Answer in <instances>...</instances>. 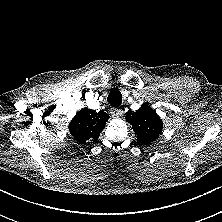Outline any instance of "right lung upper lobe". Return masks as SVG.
<instances>
[{"label":"right lung upper lobe","mask_w":222,"mask_h":222,"mask_svg":"<svg viewBox=\"0 0 222 222\" xmlns=\"http://www.w3.org/2000/svg\"><path fill=\"white\" fill-rule=\"evenodd\" d=\"M108 119L109 115L104 111L96 112L85 107L71 120L69 131L79 143H86L91 139L97 141Z\"/></svg>","instance_id":"right-lung-upper-lobe-1"}]
</instances>
